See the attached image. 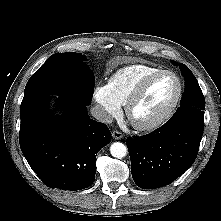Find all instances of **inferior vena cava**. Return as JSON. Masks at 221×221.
I'll use <instances>...</instances> for the list:
<instances>
[{"mask_svg": "<svg viewBox=\"0 0 221 221\" xmlns=\"http://www.w3.org/2000/svg\"><path fill=\"white\" fill-rule=\"evenodd\" d=\"M90 111L92 116L100 122L109 124L113 121L112 116L100 105L94 106Z\"/></svg>", "mask_w": 221, "mask_h": 221, "instance_id": "1", "label": "inferior vena cava"}]
</instances>
